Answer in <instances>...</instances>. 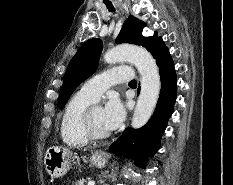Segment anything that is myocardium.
<instances>
[{"label": "myocardium", "mask_w": 233, "mask_h": 185, "mask_svg": "<svg viewBox=\"0 0 233 185\" xmlns=\"http://www.w3.org/2000/svg\"><path fill=\"white\" fill-rule=\"evenodd\" d=\"M98 106L99 105L97 104L89 105L82 116V127L84 130V133L89 140H93V141L103 140L110 136L109 131L105 133H100V132H97L93 127L91 115H92L93 109Z\"/></svg>", "instance_id": "f54148a6"}]
</instances>
